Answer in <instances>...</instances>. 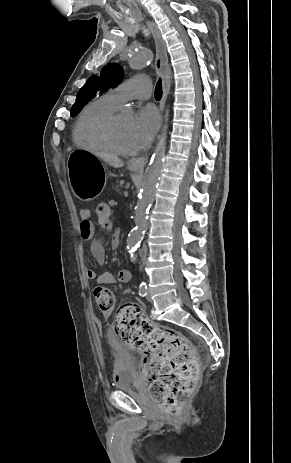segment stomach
<instances>
[{
    "mask_svg": "<svg viewBox=\"0 0 291 463\" xmlns=\"http://www.w3.org/2000/svg\"><path fill=\"white\" fill-rule=\"evenodd\" d=\"M67 171L72 192L77 198L91 201L100 194L104 172L96 155L84 150L72 151L68 156Z\"/></svg>",
    "mask_w": 291,
    "mask_h": 463,
    "instance_id": "0dacf381",
    "label": "stomach"
}]
</instances>
